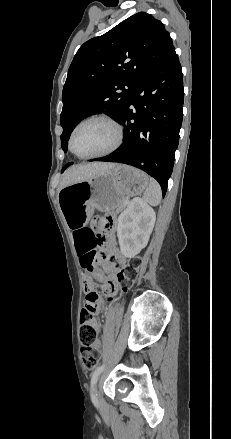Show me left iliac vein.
<instances>
[{
  "mask_svg": "<svg viewBox=\"0 0 231 439\" xmlns=\"http://www.w3.org/2000/svg\"><path fill=\"white\" fill-rule=\"evenodd\" d=\"M96 399H97V403H98V405L100 406V407H102L103 406V404H104V401H103V399L101 398V396H100V394H99V391L96 389Z\"/></svg>",
  "mask_w": 231,
  "mask_h": 439,
  "instance_id": "1",
  "label": "left iliac vein"
}]
</instances>
